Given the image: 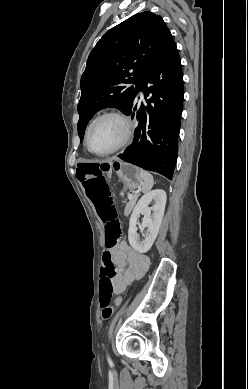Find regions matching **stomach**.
Listing matches in <instances>:
<instances>
[{
	"label": "stomach",
	"mask_w": 248,
	"mask_h": 389,
	"mask_svg": "<svg viewBox=\"0 0 248 389\" xmlns=\"http://www.w3.org/2000/svg\"><path fill=\"white\" fill-rule=\"evenodd\" d=\"M112 170L116 171L119 181L123 185L121 195L126 190H134L141 184L140 169L134 165L119 162L118 164L112 165Z\"/></svg>",
	"instance_id": "1"
}]
</instances>
